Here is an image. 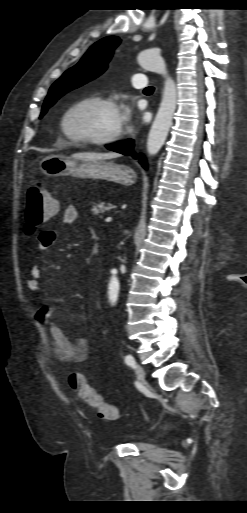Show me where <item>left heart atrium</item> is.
<instances>
[{
	"mask_svg": "<svg viewBox=\"0 0 247 513\" xmlns=\"http://www.w3.org/2000/svg\"><path fill=\"white\" fill-rule=\"evenodd\" d=\"M118 117L121 125L126 124L130 120L131 110L126 106L122 107L118 110Z\"/></svg>",
	"mask_w": 247,
	"mask_h": 513,
	"instance_id": "39dd6f15",
	"label": "left heart atrium"
}]
</instances>
